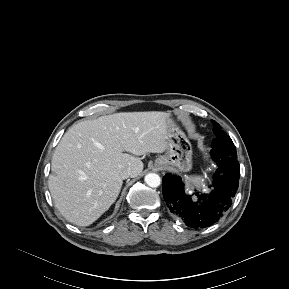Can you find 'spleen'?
Returning <instances> with one entry per match:
<instances>
[{
    "label": "spleen",
    "instance_id": "spleen-1",
    "mask_svg": "<svg viewBox=\"0 0 289 289\" xmlns=\"http://www.w3.org/2000/svg\"><path fill=\"white\" fill-rule=\"evenodd\" d=\"M190 189L206 190V179L202 175H192L185 178Z\"/></svg>",
    "mask_w": 289,
    "mask_h": 289
}]
</instances>
